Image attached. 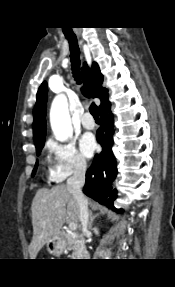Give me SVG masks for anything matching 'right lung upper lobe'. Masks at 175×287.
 I'll return each mask as SVG.
<instances>
[{"label": "right lung upper lobe", "mask_w": 175, "mask_h": 287, "mask_svg": "<svg viewBox=\"0 0 175 287\" xmlns=\"http://www.w3.org/2000/svg\"><path fill=\"white\" fill-rule=\"evenodd\" d=\"M82 75L85 83L86 90L83 94L86 97H97L101 100L99 106L100 111L109 106L108 90L102 87L103 75L100 73V69L97 63H93L89 68L84 63L82 68ZM46 100H47V83L44 81L37 92V101L34 107L33 116V138L34 142L39 143L45 140L46 135Z\"/></svg>", "instance_id": "obj_1"}]
</instances>
